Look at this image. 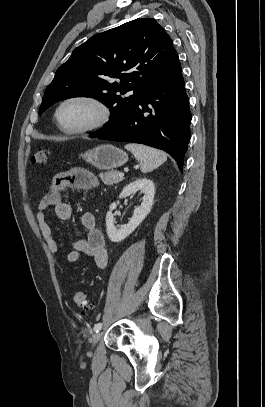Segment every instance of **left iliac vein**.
Returning a JSON list of instances; mask_svg holds the SVG:
<instances>
[{"mask_svg":"<svg viewBox=\"0 0 265 407\" xmlns=\"http://www.w3.org/2000/svg\"><path fill=\"white\" fill-rule=\"evenodd\" d=\"M101 336H102V333L100 331H98L92 335V337L90 338V343H91L92 347H94L98 343Z\"/></svg>","mask_w":265,"mask_h":407,"instance_id":"left-iliac-vein-1","label":"left iliac vein"}]
</instances>
